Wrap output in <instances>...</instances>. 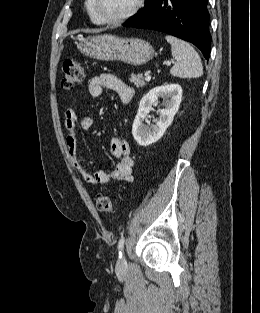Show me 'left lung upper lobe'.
<instances>
[{
	"mask_svg": "<svg viewBox=\"0 0 260 313\" xmlns=\"http://www.w3.org/2000/svg\"><path fill=\"white\" fill-rule=\"evenodd\" d=\"M145 1H146V3H147L149 0H145ZM134 17H135V15H134V16H132V17L130 18V20H131V19H133Z\"/></svg>",
	"mask_w": 260,
	"mask_h": 313,
	"instance_id": "1",
	"label": "left lung upper lobe"
}]
</instances>
